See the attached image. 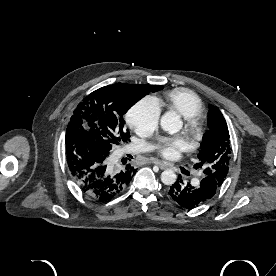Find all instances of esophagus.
Listing matches in <instances>:
<instances>
[{
  "mask_svg": "<svg viewBox=\"0 0 276 276\" xmlns=\"http://www.w3.org/2000/svg\"><path fill=\"white\" fill-rule=\"evenodd\" d=\"M149 163L156 164L161 169H167L168 168V164L167 163H165L163 161H160V160H157V159H149Z\"/></svg>",
  "mask_w": 276,
  "mask_h": 276,
  "instance_id": "obj_1",
  "label": "esophagus"
}]
</instances>
